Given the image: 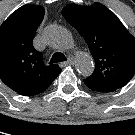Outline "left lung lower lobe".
<instances>
[{
  "instance_id": "left-lung-lower-lobe-1",
  "label": "left lung lower lobe",
  "mask_w": 135,
  "mask_h": 135,
  "mask_svg": "<svg viewBox=\"0 0 135 135\" xmlns=\"http://www.w3.org/2000/svg\"><path fill=\"white\" fill-rule=\"evenodd\" d=\"M85 85H86L89 89H91V90H93V91L102 92V93H107V92H104V91H102L101 89L96 88V87H94V86H91V85H89V84H86V83H85Z\"/></svg>"
}]
</instances>
